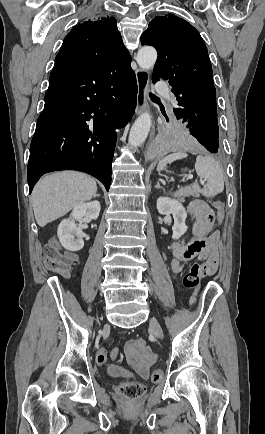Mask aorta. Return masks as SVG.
Listing matches in <instances>:
<instances>
[{"label": "aorta", "mask_w": 265, "mask_h": 434, "mask_svg": "<svg viewBox=\"0 0 265 434\" xmlns=\"http://www.w3.org/2000/svg\"><path fill=\"white\" fill-rule=\"evenodd\" d=\"M156 60L157 52L155 48L145 46V48H140V50H138L136 62L142 70H151ZM151 126L152 120L150 114H148V112L141 114V116L135 120L129 132V146H131V148H138V146H141V144L145 142Z\"/></svg>", "instance_id": "obj_1"}]
</instances>
